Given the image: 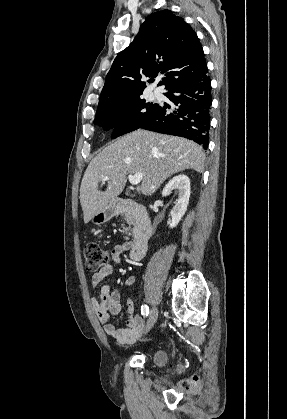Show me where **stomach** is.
I'll use <instances>...</instances> for the list:
<instances>
[{"instance_id":"obj_1","label":"stomach","mask_w":287,"mask_h":419,"mask_svg":"<svg viewBox=\"0 0 287 419\" xmlns=\"http://www.w3.org/2000/svg\"><path fill=\"white\" fill-rule=\"evenodd\" d=\"M114 215V207L111 204H108L103 210L94 215L91 221L94 224H101L111 219Z\"/></svg>"}]
</instances>
